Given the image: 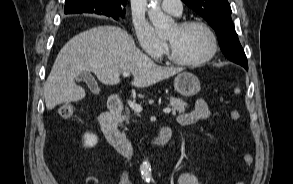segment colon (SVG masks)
I'll return each mask as SVG.
<instances>
[{"label":"colon","mask_w":293,"mask_h":184,"mask_svg":"<svg viewBox=\"0 0 293 184\" xmlns=\"http://www.w3.org/2000/svg\"><path fill=\"white\" fill-rule=\"evenodd\" d=\"M72 112H73V109H72L71 105H69V104H67V103H66V104H63V105L59 108V115H60L62 118H68V117H70V116L72 115ZM230 117H231L232 120L237 121V120H239V118H240V114H239L238 111H236V110H232V111L230 112ZM243 161H244V163H245L246 165H251L252 162H253V157H252V155H251V154H248V153L244 154V156H243ZM236 184H246V183H245L244 181H239V182H237Z\"/></svg>","instance_id":"obj_1"}]
</instances>
